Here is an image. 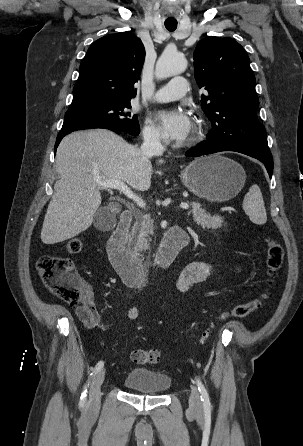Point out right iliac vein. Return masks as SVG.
I'll return each instance as SVG.
<instances>
[{
    "instance_id": "1",
    "label": "right iliac vein",
    "mask_w": 303,
    "mask_h": 446,
    "mask_svg": "<svg viewBox=\"0 0 303 446\" xmlns=\"http://www.w3.org/2000/svg\"><path fill=\"white\" fill-rule=\"evenodd\" d=\"M105 377V369H102L98 372V374L94 377L89 391V409L91 411H96L100 404L101 397V385L104 381Z\"/></svg>"
}]
</instances>
